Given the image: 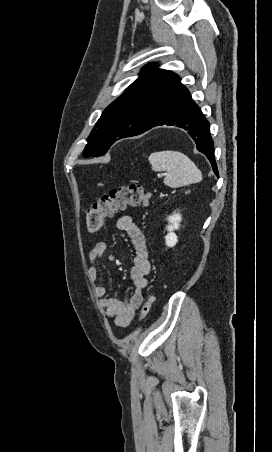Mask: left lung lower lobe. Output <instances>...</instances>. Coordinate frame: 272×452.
Wrapping results in <instances>:
<instances>
[{"label":"left lung lower lobe","instance_id":"obj_1","mask_svg":"<svg viewBox=\"0 0 272 452\" xmlns=\"http://www.w3.org/2000/svg\"><path fill=\"white\" fill-rule=\"evenodd\" d=\"M160 125L176 126L186 130L195 141L197 150L206 155L214 173L218 176L209 122L184 85L170 98L155 122L145 131Z\"/></svg>","mask_w":272,"mask_h":452}]
</instances>
